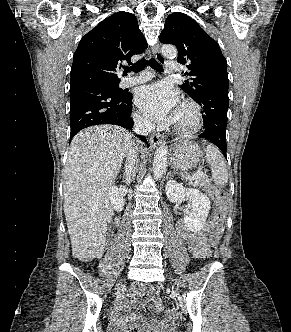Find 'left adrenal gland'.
Wrapping results in <instances>:
<instances>
[{
  "instance_id": "obj_1",
  "label": "left adrenal gland",
  "mask_w": 291,
  "mask_h": 332,
  "mask_svg": "<svg viewBox=\"0 0 291 332\" xmlns=\"http://www.w3.org/2000/svg\"><path fill=\"white\" fill-rule=\"evenodd\" d=\"M169 176H171V171H169V173H168V175H167V178H168Z\"/></svg>"
}]
</instances>
